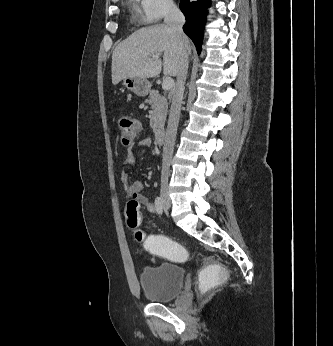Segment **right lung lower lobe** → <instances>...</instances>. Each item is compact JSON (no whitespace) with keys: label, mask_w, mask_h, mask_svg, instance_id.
Segmentation results:
<instances>
[{"label":"right lung lower lobe","mask_w":333,"mask_h":346,"mask_svg":"<svg viewBox=\"0 0 333 346\" xmlns=\"http://www.w3.org/2000/svg\"><path fill=\"white\" fill-rule=\"evenodd\" d=\"M210 0H189L180 1V9L185 15L186 23L183 31L191 38L198 54L201 52L203 29L206 22L207 9L210 7Z\"/></svg>","instance_id":"obj_1"}]
</instances>
